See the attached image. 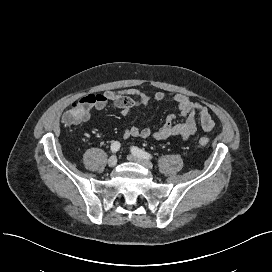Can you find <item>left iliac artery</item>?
<instances>
[{
  "instance_id": "1",
  "label": "left iliac artery",
  "mask_w": 272,
  "mask_h": 272,
  "mask_svg": "<svg viewBox=\"0 0 272 272\" xmlns=\"http://www.w3.org/2000/svg\"><path fill=\"white\" fill-rule=\"evenodd\" d=\"M131 151H132V153L134 154V155H136V156H138V157H141V158H144V159H152L153 158V156L150 154V153H148V152H146V151H144V150H141V149H139L138 147H132L131 148Z\"/></svg>"
}]
</instances>
